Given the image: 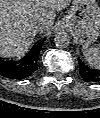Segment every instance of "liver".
Masks as SVG:
<instances>
[{
  "label": "liver",
  "instance_id": "liver-1",
  "mask_svg": "<svg viewBox=\"0 0 100 118\" xmlns=\"http://www.w3.org/2000/svg\"><path fill=\"white\" fill-rule=\"evenodd\" d=\"M71 0H0V56L19 59L28 52L36 24H45L48 31Z\"/></svg>",
  "mask_w": 100,
  "mask_h": 118
}]
</instances>
